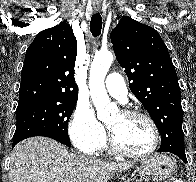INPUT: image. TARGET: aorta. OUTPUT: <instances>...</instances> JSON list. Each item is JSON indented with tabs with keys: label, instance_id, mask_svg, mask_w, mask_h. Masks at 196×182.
I'll return each instance as SVG.
<instances>
[{
	"label": "aorta",
	"instance_id": "1",
	"mask_svg": "<svg viewBox=\"0 0 196 182\" xmlns=\"http://www.w3.org/2000/svg\"><path fill=\"white\" fill-rule=\"evenodd\" d=\"M112 61V52L100 51L95 54L90 67V95L97 111V118L103 122L109 121L112 115L118 112L117 106L110 102L105 88V77Z\"/></svg>",
	"mask_w": 196,
	"mask_h": 182
}]
</instances>
